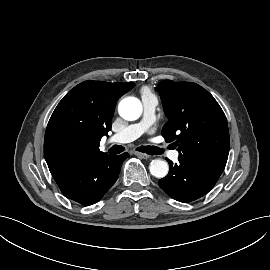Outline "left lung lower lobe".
I'll return each mask as SVG.
<instances>
[{
	"label": "left lung lower lobe",
	"instance_id": "1",
	"mask_svg": "<svg viewBox=\"0 0 270 270\" xmlns=\"http://www.w3.org/2000/svg\"><path fill=\"white\" fill-rule=\"evenodd\" d=\"M169 162V173L159 180V186L173 199L187 203L207 194L216 184L224 168L202 161L178 157Z\"/></svg>",
	"mask_w": 270,
	"mask_h": 270
}]
</instances>
